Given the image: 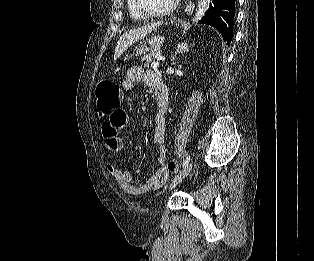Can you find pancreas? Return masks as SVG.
I'll return each instance as SVG.
<instances>
[{"label": "pancreas", "instance_id": "pancreas-1", "mask_svg": "<svg viewBox=\"0 0 314 261\" xmlns=\"http://www.w3.org/2000/svg\"><path fill=\"white\" fill-rule=\"evenodd\" d=\"M157 56H161V49H155L151 51L150 53L144 55L141 57V61L144 62V66L148 67L149 63L152 61L153 58H156Z\"/></svg>", "mask_w": 314, "mask_h": 261}]
</instances>
